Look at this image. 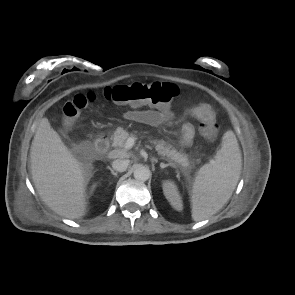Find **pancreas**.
I'll list each match as a JSON object with an SVG mask.
<instances>
[{"mask_svg":"<svg viewBox=\"0 0 295 295\" xmlns=\"http://www.w3.org/2000/svg\"><path fill=\"white\" fill-rule=\"evenodd\" d=\"M135 137V133H129L122 127H118L113 133L112 146L116 148H123L126 140L130 137ZM155 145L158 154L162 159L168 160L171 164H178L183 167V172L188 173L190 169L189 158L185 153L178 152L172 145L166 143L163 140H150Z\"/></svg>","mask_w":295,"mask_h":295,"instance_id":"obj_1","label":"pancreas"}]
</instances>
